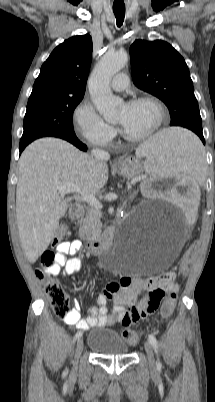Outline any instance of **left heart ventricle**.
I'll return each mask as SVG.
<instances>
[{
  "instance_id": "obj_1",
  "label": "left heart ventricle",
  "mask_w": 215,
  "mask_h": 402,
  "mask_svg": "<svg viewBox=\"0 0 215 402\" xmlns=\"http://www.w3.org/2000/svg\"><path fill=\"white\" fill-rule=\"evenodd\" d=\"M156 119L155 107L150 103L142 102L134 105H122L117 114L116 123L126 134L138 136L151 130Z\"/></svg>"
}]
</instances>
